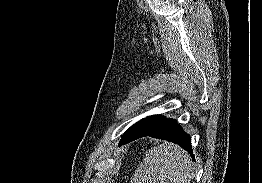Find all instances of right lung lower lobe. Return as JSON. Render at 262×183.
I'll return each mask as SVG.
<instances>
[{
  "label": "right lung lower lobe",
  "instance_id": "right-lung-lower-lobe-1",
  "mask_svg": "<svg viewBox=\"0 0 262 183\" xmlns=\"http://www.w3.org/2000/svg\"><path fill=\"white\" fill-rule=\"evenodd\" d=\"M144 136L176 143L188 151L193 158L191 138L174 119H166L158 115L150 116L130 127L122 136L120 145Z\"/></svg>",
  "mask_w": 262,
  "mask_h": 183
}]
</instances>
